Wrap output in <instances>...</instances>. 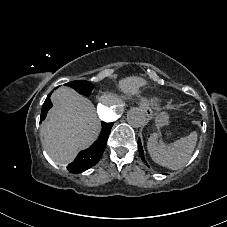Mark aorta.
Returning <instances> with one entry per match:
<instances>
[{
	"label": "aorta",
	"mask_w": 227,
	"mask_h": 227,
	"mask_svg": "<svg viewBox=\"0 0 227 227\" xmlns=\"http://www.w3.org/2000/svg\"><path fill=\"white\" fill-rule=\"evenodd\" d=\"M128 123L135 128L144 126L147 121V114L140 108L130 109L127 113Z\"/></svg>",
	"instance_id": "obj_1"
}]
</instances>
